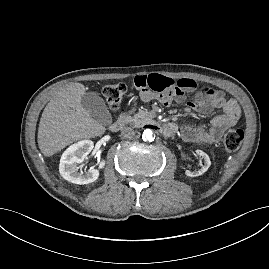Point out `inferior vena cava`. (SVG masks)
Returning <instances> with one entry per match:
<instances>
[{"label": "inferior vena cava", "mask_w": 269, "mask_h": 269, "mask_svg": "<svg viewBox=\"0 0 269 269\" xmlns=\"http://www.w3.org/2000/svg\"><path fill=\"white\" fill-rule=\"evenodd\" d=\"M121 135H122L124 138L131 139V138L134 137V135H135V131H134V129H132L131 127H124V128L121 130Z\"/></svg>", "instance_id": "inferior-vena-cava-1"}]
</instances>
